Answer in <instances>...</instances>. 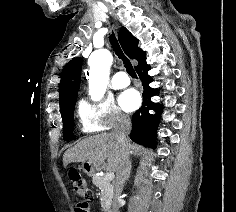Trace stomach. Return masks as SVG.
Here are the masks:
<instances>
[{
	"mask_svg": "<svg viewBox=\"0 0 236 212\" xmlns=\"http://www.w3.org/2000/svg\"><path fill=\"white\" fill-rule=\"evenodd\" d=\"M82 169L88 176H94L98 168L89 162H84L82 164Z\"/></svg>",
	"mask_w": 236,
	"mask_h": 212,
	"instance_id": "0dacf381",
	"label": "stomach"
}]
</instances>
